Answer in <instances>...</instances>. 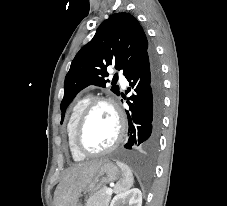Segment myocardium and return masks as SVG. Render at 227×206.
<instances>
[{
    "instance_id": "myocardium-1",
    "label": "myocardium",
    "mask_w": 227,
    "mask_h": 206,
    "mask_svg": "<svg viewBox=\"0 0 227 206\" xmlns=\"http://www.w3.org/2000/svg\"><path fill=\"white\" fill-rule=\"evenodd\" d=\"M100 104L109 105L113 109L118 123V132L115 140L110 146L100 151H90L82 144V140H81L82 132L89 115L91 114L93 109ZM125 130H126L125 118L117 102L110 97H105V96L96 97L90 100V102L85 106V108L83 109L82 113L79 116V119L74 129L73 145H74V148L84 156L93 157V156L104 155L113 151L116 147H118V145L122 142L125 136Z\"/></svg>"
}]
</instances>
